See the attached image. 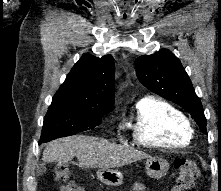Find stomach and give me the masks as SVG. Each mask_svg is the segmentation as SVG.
Returning a JSON list of instances; mask_svg holds the SVG:
<instances>
[{"mask_svg":"<svg viewBox=\"0 0 221 191\" xmlns=\"http://www.w3.org/2000/svg\"><path fill=\"white\" fill-rule=\"evenodd\" d=\"M146 173L151 178H162L169 169V164L163 158H149L145 164ZM97 178L108 186H119L123 184L122 172L112 168H102L97 171Z\"/></svg>","mask_w":221,"mask_h":191,"instance_id":"stomach-1","label":"stomach"}]
</instances>
